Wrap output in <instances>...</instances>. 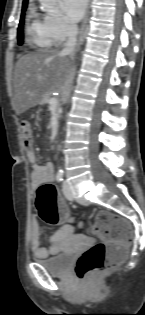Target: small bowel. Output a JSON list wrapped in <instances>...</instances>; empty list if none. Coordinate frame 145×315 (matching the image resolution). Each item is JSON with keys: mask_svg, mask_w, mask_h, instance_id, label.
I'll use <instances>...</instances> for the list:
<instances>
[{"mask_svg": "<svg viewBox=\"0 0 145 315\" xmlns=\"http://www.w3.org/2000/svg\"><path fill=\"white\" fill-rule=\"evenodd\" d=\"M27 159L32 164L30 180L33 191H35L42 183L52 182L54 180V167L52 163H37L36 153L32 149L27 150ZM72 232V226L65 224L51 237L50 246L48 248L42 247L40 243L42 230L38 220L34 217L32 219L30 237L33 255L37 258H45L58 254L62 250L63 240Z\"/></svg>", "mask_w": 145, "mask_h": 315, "instance_id": "1", "label": "small bowel"}]
</instances>
